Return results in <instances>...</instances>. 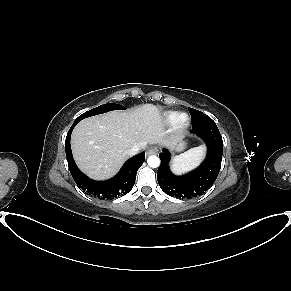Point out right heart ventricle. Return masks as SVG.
<instances>
[{
  "mask_svg": "<svg viewBox=\"0 0 291 291\" xmlns=\"http://www.w3.org/2000/svg\"><path fill=\"white\" fill-rule=\"evenodd\" d=\"M176 113L175 112H166L164 114V120L167 124L172 123Z\"/></svg>",
  "mask_w": 291,
  "mask_h": 291,
  "instance_id": "1",
  "label": "right heart ventricle"
}]
</instances>
